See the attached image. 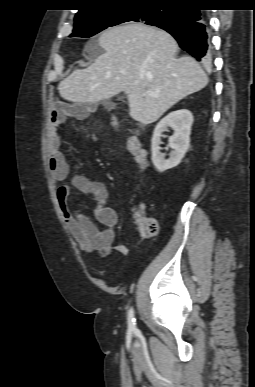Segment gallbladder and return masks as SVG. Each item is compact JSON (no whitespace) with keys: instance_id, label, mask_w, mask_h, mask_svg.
Instances as JSON below:
<instances>
[{"instance_id":"1","label":"gallbladder","mask_w":255,"mask_h":387,"mask_svg":"<svg viewBox=\"0 0 255 387\" xmlns=\"http://www.w3.org/2000/svg\"><path fill=\"white\" fill-rule=\"evenodd\" d=\"M103 103H104L105 105H111L110 99H105V100L103 101Z\"/></svg>"}]
</instances>
